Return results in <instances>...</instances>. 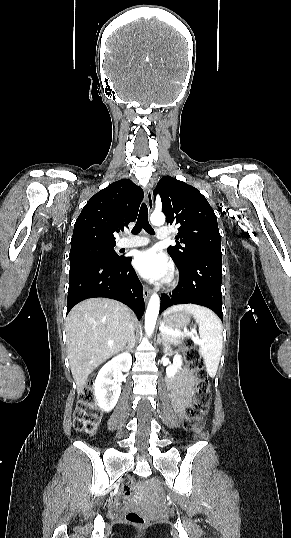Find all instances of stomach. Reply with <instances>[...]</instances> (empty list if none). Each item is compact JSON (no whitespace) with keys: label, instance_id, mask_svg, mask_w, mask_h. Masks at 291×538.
<instances>
[{"label":"stomach","instance_id":"obj_1","mask_svg":"<svg viewBox=\"0 0 291 538\" xmlns=\"http://www.w3.org/2000/svg\"><path fill=\"white\" fill-rule=\"evenodd\" d=\"M189 322L190 314L186 311L165 313L163 318V325L174 330L185 328Z\"/></svg>","mask_w":291,"mask_h":538}]
</instances>
